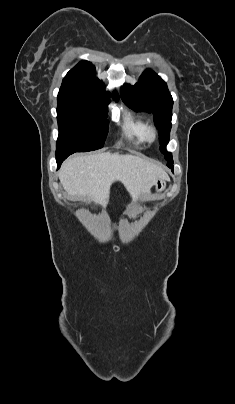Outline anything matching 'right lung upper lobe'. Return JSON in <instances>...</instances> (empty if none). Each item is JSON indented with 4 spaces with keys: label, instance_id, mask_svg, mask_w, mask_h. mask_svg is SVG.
Returning <instances> with one entry per match:
<instances>
[{
    "label": "right lung upper lobe",
    "instance_id": "obj_1",
    "mask_svg": "<svg viewBox=\"0 0 235 404\" xmlns=\"http://www.w3.org/2000/svg\"><path fill=\"white\" fill-rule=\"evenodd\" d=\"M59 97L78 100L109 102L110 93L105 92L102 81L96 78V69L88 61H82L64 77ZM118 100V95L114 94Z\"/></svg>",
    "mask_w": 235,
    "mask_h": 404
}]
</instances>
